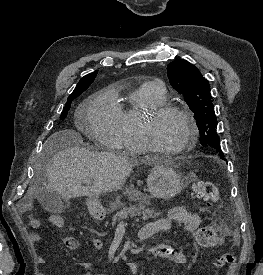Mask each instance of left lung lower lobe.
<instances>
[{
    "mask_svg": "<svg viewBox=\"0 0 263 275\" xmlns=\"http://www.w3.org/2000/svg\"><path fill=\"white\" fill-rule=\"evenodd\" d=\"M212 152H213V151H212ZM213 153H214L215 155H217L218 157H220L221 159L226 160L223 153H217V152H213Z\"/></svg>",
    "mask_w": 263,
    "mask_h": 275,
    "instance_id": "left-lung-lower-lobe-1",
    "label": "left lung lower lobe"
}]
</instances>
